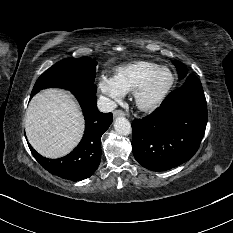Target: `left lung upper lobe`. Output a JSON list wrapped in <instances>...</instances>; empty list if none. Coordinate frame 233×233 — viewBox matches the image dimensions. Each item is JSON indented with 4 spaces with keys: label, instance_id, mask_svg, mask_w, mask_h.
<instances>
[{
    "label": "left lung upper lobe",
    "instance_id": "left-lung-upper-lobe-1",
    "mask_svg": "<svg viewBox=\"0 0 233 233\" xmlns=\"http://www.w3.org/2000/svg\"><path fill=\"white\" fill-rule=\"evenodd\" d=\"M173 63L176 66L179 78L183 79L187 75V72H188L186 66L183 63L179 62V61H173Z\"/></svg>",
    "mask_w": 233,
    "mask_h": 233
}]
</instances>
